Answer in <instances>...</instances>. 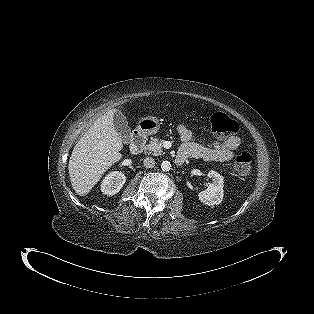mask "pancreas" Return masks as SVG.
<instances>
[{"label":"pancreas","mask_w":314,"mask_h":314,"mask_svg":"<svg viewBox=\"0 0 314 314\" xmlns=\"http://www.w3.org/2000/svg\"><path fill=\"white\" fill-rule=\"evenodd\" d=\"M162 139L153 138L151 141L144 147V152L146 154H152L153 156H159L163 154L162 151Z\"/></svg>","instance_id":"1"}]
</instances>
